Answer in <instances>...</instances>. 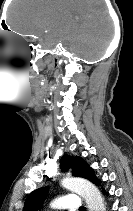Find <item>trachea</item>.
<instances>
[{
  "mask_svg": "<svg viewBox=\"0 0 133 211\" xmlns=\"http://www.w3.org/2000/svg\"><path fill=\"white\" fill-rule=\"evenodd\" d=\"M79 211H86L85 207H81Z\"/></svg>",
  "mask_w": 133,
  "mask_h": 211,
  "instance_id": "1",
  "label": "trachea"
}]
</instances>
